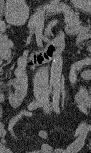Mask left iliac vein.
Segmentation results:
<instances>
[{
  "mask_svg": "<svg viewBox=\"0 0 91 153\" xmlns=\"http://www.w3.org/2000/svg\"><path fill=\"white\" fill-rule=\"evenodd\" d=\"M44 106H43V110L45 113H50L51 111V105H50V102H49V99H48V96L46 95L45 98H44Z\"/></svg>",
  "mask_w": 91,
  "mask_h": 153,
  "instance_id": "obj_1",
  "label": "left iliac vein"
}]
</instances>
